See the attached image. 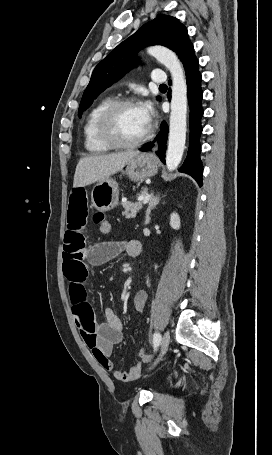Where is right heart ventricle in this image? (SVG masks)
I'll return each mask as SVG.
<instances>
[{
	"mask_svg": "<svg viewBox=\"0 0 272 455\" xmlns=\"http://www.w3.org/2000/svg\"><path fill=\"white\" fill-rule=\"evenodd\" d=\"M112 101L110 97L101 99L88 113L84 128V146L92 154H104L110 152L113 148L101 140L98 134L97 124L102 111Z\"/></svg>",
	"mask_w": 272,
	"mask_h": 455,
	"instance_id": "e07e8e85",
	"label": "right heart ventricle"
}]
</instances>
